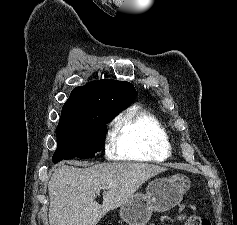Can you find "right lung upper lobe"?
Masks as SVG:
<instances>
[{
    "mask_svg": "<svg viewBox=\"0 0 237 225\" xmlns=\"http://www.w3.org/2000/svg\"><path fill=\"white\" fill-rule=\"evenodd\" d=\"M136 98L134 86L116 80H98L76 87L64 104L60 120L89 122L100 111L119 113Z\"/></svg>",
    "mask_w": 237,
    "mask_h": 225,
    "instance_id": "right-lung-upper-lobe-1",
    "label": "right lung upper lobe"
}]
</instances>
